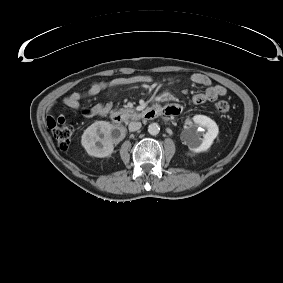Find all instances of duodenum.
<instances>
[{
  "instance_id": "410a0bca",
  "label": "duodenum",
  "mask_w": 283,
  "mask_h": 283,
  "mask_svg": "<svg viewBox=\"0 0 283 283\" xmlns=\"http://www.w3.org/2000/svg\"><path fill=\"white\" fill-rule=\"evenodd\" d=\"M162 113H163L162 108L158 106H153L141 113L128 115V116L120 112H113L111 114V121L113 124L117 126H121L124 123V121L128 118L150 120L160 116Z\"/></svg>"
}]
</instances>
